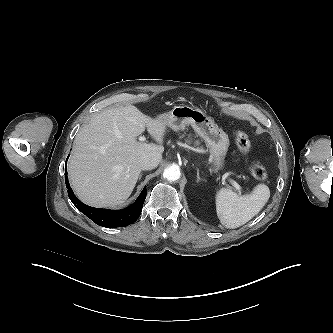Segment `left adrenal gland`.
I'll return each instance as SVG.
<instances>
[{
	"mask_svg": "<svg viewBox=\"0 0 333 333\" xmlns=\"http://www.w3.org/2000/svg\"><path fill=\"white\" fill-rule=\"evenodd\" d=\"M196 171H197V180H196V182L204 181V179L200 178V176H199V169L198 168H196Z\"/></svg>",
	"mask_w": 333,
	"mask_h": 333,
	"instance_id": "left-adrenal-gland-1",
	"label": "left adrenal gland"
}]
</instances>
